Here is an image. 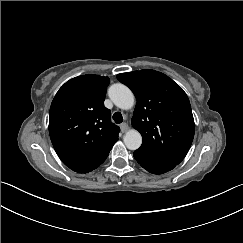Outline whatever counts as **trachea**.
Here are the masks:
<instances>
[{"instance_id":"1","label":"trachea","mask_w":243,"mask_h":243,"mask_svg":"<svg viewBox=\"0 0 243 243\" xmlns=\"http://www.w3.org/2000/svg\"><path fill=\"white\" fill-rule=\"evenodd\" d=\"M112 118L115 121V123H117V124L122 123V121H123V116L121 115L120 112H115L113 114Z\"/></svg>"}]
</instances>
